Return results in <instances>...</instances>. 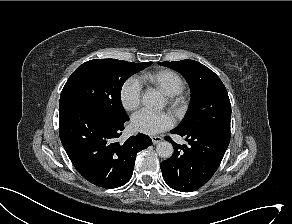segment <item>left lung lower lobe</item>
I'll list each match as a JSON object with an SVG mask.
<instances>
[{"label":"left lung lower lobe","instance_id":"0a47b994","mask_svg":"<svg viewBox=\"0 0 292 224\" xmlns=\"http://www.w3.org/2000/svg\"><path fill=\"white\" fill-rule=\"evenodd\" d=\"M171 133L185 138L189 146L176 144L171 158L161 163L164 181L169 187L190 192L204 185L219 167L229 145L230 132L184 133L176 128Z\"/></svg>","mask_w":292,"mask_h":224}]
</instances>
